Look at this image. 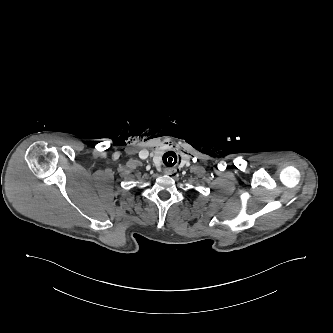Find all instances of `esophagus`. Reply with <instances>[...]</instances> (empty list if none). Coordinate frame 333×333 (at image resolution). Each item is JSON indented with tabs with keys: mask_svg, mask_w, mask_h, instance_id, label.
<instances>
[{
	"mask_svg": "<svg viewBox=\"0 0 333 333\" xmlns=\"http://www.w3.org/2000/svg\"><path fill=\"white\" fill-rule=\"evenodd\" d=\"M176 171H177L176 168H165V169H164V173L167 174V175H172V174H174Z\"/></svg>",
	"mask_w": 333,
	"mask_h": 333,
	"instance_id": "esophagus-1",
	"label": "esophagus"
}]
</instances>
